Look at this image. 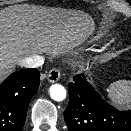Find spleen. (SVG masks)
Instances as JSON below:
<instances>
[{
    "mask_svg": "<svg viewBox=\"0 0 131 131\" xmlns=\"http://www.w3.org/2000/svg\"><path fill=\"white\" fill-rule=\"evenodd\" d=\"M110 96L117 104H124L128 101V93H131V82L119 80L110 85Z\"/></svg>",
    "mask_w": 131,
    "mask_h": 131,
    "instance_id": "spleen-1",
    "label": "spleen"
}]
</instances>
